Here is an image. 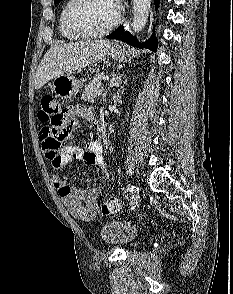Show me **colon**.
I'll return each instance as SVG.
<instances>
[{"instance_id":"5ec220e1","label":"colon","mask_w":233,"mask_h":294,"mask_svg":"<svg viewBox=\"0 0 233 294\" xmlns=\"http://www.w3.org/2000/svg\"><path fill=\"white\" fill-rule=\"evenodd\" d=\"M59 103L52 95H44L40 101V110L38 112V118L41 122L48 123L50 117H56L52 115V110H61ZM119 210V204L116 199H109L102 204L100 208L101 215H109Z\"/></svg>"}]
</instances>
